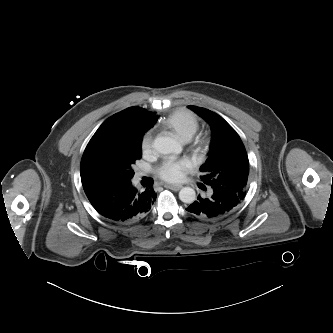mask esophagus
<instances>
[{
  "label": "esophagus",
  "instance_id": "1",
  "mask_svg": "<svg viewBox=\"0 0 333 333\" xmlns=\"http://www.w3.org/2000/svg\"><path fill=\"white\" fill-rule=\"evenodd\" d=\"M166 188L168 189H171L173 191H178L179 189L182 188V185H170V184H167L165 185Z\"/></svg>",
  "mask_w": 333,
  "mask_h": 333
}]
</instances>
